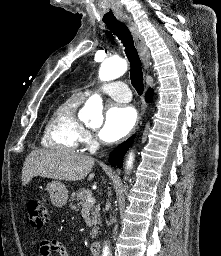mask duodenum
Masks as SVG:
<instances>
[{"mask_svg":"<svg viewBox=\"0 0 221 256\" xmlns=\"http://www.w3.org/2000/svg\"><path fill=\"white\" fill-rule=\"evenodd\" d=\"M101 245L99 242L94 241L90 244V251L93 256H100Z\"/></svg>","mask_w":221,"mask_h":256,"instance_id":"1","label":"duodenum"}]
</instances>
